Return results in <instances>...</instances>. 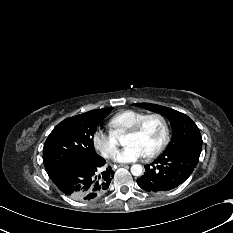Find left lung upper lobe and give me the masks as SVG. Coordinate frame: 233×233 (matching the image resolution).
Here are the masks:
<instances>
[{
    "label": "left lung upper lobe",
    "mask_w": 233,
    "mask_h": 233,
    "mask_svg": "<svg viewBox=\"0 0 233 233\" xmlns=\"http://www.w3.org/2000/svg\"><path fill=\"white\" fill-rule=\"evenodd\" d=\"M134 105L155 113H161L170 121L172 140L165 152L188 151L200 155L202 137L198 127L191 118L181 112L160 105L150 103H136Z\"/></svg>",
    "instance_id": "5c2ea615"
}]
</instances>
